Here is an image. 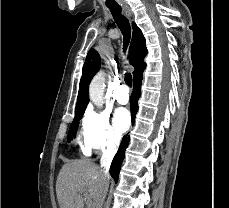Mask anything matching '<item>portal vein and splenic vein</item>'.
<instances>
[{
  "instance_id": "portal-vein-and-splenic-vein-1",
  "label": "portal vein and splenic vein",
  "mask_w": 229,
  "mask_h": 208,
  "mask_svg": "<svg viewBox=\"0 0 229 208\" xmlns=\"http://www.w3.org/2000/svg\"><path fill=\"white\" fill-rule=\"evenodd\" d=\"M86 204H87V202H86ZM87 208H90V204H87Z\"/></svg>"
}]
</instances>
